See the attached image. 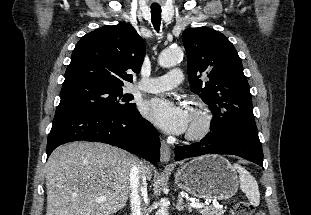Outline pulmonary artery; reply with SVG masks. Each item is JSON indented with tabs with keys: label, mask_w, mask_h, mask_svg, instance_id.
<instances>
[{
	"label": "pulmonary artery",
	"mask_w": 311,
	"mask_h": 215,
	"mask_svg": "<svg viewBox=\"0 0 311 215\" xmlns=\"http://www.w3.org/2000/svg\"><path fill=\"white\" fill-rule=\"evenodd\" d=\"M182 77V71L179 68H175L161 77L147 79L140 83L138 88L149 93H159L178 86L182 82Z\"/></svg>",
	"instance_id": "obj_1"
}]
</instances>
